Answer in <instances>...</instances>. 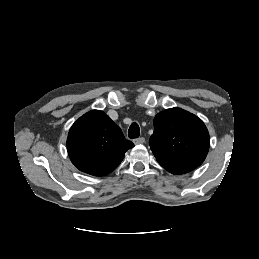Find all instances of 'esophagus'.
I'll list each match as a JSON object with an SVG mask.
<instances>
[{
    "label": "esophagus",
    "mask_w": 259,
    "mask_h": 259,
    "mask_svg": "<svg viewBox=\"0 0 259 259\" xmlns=\"http://www.w3.org/2000/svg\"><path fill=\"white\" fill-rule=\"evenodd\" d=\"M133 142L134 144H143L145 142V138L140 137V138L134 139Z\"/></svg>",
    "instance_id": "obj_1"
}]
</instances>
